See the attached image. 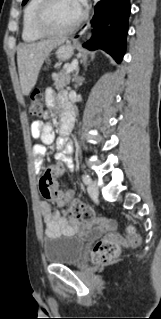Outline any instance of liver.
Wrapping results in <instances>:
<instances>
[{"label":"liver","instance_id":"obj_1","mask_svg":"<svg viewBox=\"0 0 161 319\" xmlns=\"http://www.w3.org/2000/svg\"><path fill=\"white\" fill-rule=\"evenodd\" d=\"M58 40H45L20 44L17 48V64L20 84L24 95H29L35 86L39 71L49 52L57 46Z\"/></svg>","mask_w":161,"mask_h":319}]
</instances>
